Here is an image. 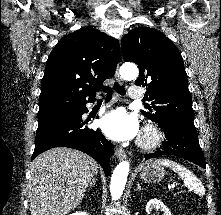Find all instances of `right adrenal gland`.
I'll use <instances>...</instances> for the list:
<instances>
[{"instance_id": "2a0ac1e0", "label": "right adrenal gland", "mask_w": 221, "mask_h": 215, "mask_svg": "<svg viewBox=\"0 0 221 215\" xmlns=\"http://www.w3.org/2000/svg\"><path fill=\"white\" fill-rule=\"evenodd\" d=\"M96 181H97V179H96V175L94 176V178L90 181V183H89V185H90V187H92V185L94 184V183H96Z\"/></svg>"}]
</instances>
